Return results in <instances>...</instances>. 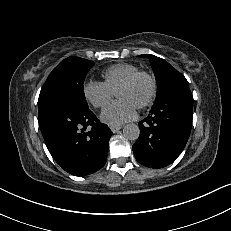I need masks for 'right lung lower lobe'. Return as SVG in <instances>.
I'll list each match as a JSON object with an SVG mask.
<instances>
[{"label":"right lung lower lobe","mask_w":231,"mask_h":231,"mask_svg":"<svg viewBox=\"0 0 231 231\" xmlns=\"http://www.w3.org/2000/svg\"><path fill=\"white\" fill-rule=\"evenodd\" d=\"M38 120L48 150L66 172L86 176L105 165L113 133L88 106L58 104Z\"/></svg>","instance_id":"right-lung-lower-lobe-1"}]
</instances>
